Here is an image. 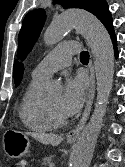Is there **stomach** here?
Here are the masks:
<instances>
[{"mask_svg":"<svg viewBox=\"0 0 125 167\" xmlns=\"http://www.w3.org/2000/svg\"><path fill=\"white\" fill-rule=\"evenodd\" d=\"M6 134L7 139H4V150L8 156L13 158L31 156V141L26 134L13 130Z\"/></svg>","mask_w":125,"mask_h":167,"instance_id":"stomach-1","label":"stomach"}]
</instances>
